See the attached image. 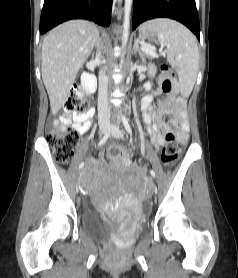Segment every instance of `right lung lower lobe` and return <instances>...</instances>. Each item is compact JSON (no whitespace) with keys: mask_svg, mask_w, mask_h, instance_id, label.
Masks as SVG:
<instances>
[{"mask_svg":"<svg viewBox=\"0 0 238 278\" xmlns=\"http://www.w3.org/2000/svg\"><path fill=\"white\" fill-rule=\"evenodd\" d=\"M112 0H44L40 33L71 19H86L102 26L111 21Z\"/></svg>","mask_w":238,"mask_h":278,"instance_id":"right-lung-lower-lobe-1","label":"right lung lower lobe"}]
</instances>
